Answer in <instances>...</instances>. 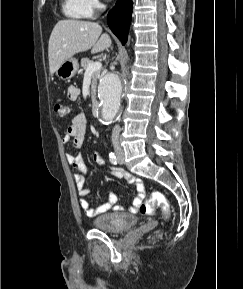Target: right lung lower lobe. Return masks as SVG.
<instances>
[{
    "instance_id": "98d812e1",
    "label": "right lung lower lobe",
    "mask_w": 243,
    "mask_h": 289,
    "mask_svg": "<svg viewBox=\"0 0 243 289\" xmlns=\"http://www.w3.org/2000/svg\"><path fill=\"white\" fill-rule=\"evenodd\" d=\"M132 15V0H117L115 7L108 13L107 22L112 32L124 45L127 41Z\"/></svg>"
}]
</instances>
